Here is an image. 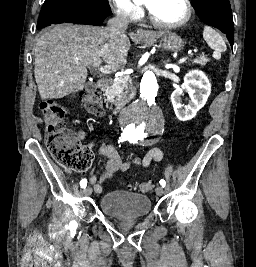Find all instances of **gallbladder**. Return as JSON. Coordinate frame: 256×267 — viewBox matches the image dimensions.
Instances as JSON below:
<instances>
[{
    "label": "gallbladder",
    "instance_id": "bac80fb5",
    "mask_svg": "<svg viewBox=\"0 0 256 267\" xmlns=\"http://www.w3.org/2000/svg\"><path fill=\"white\" fill-rule=\"evenodd\" d=\"M96 84L95 82H88L86 86V92H92V90H95Z\"/></svg>",
    "mask_w": 256,
    "mask_h": 267
}]
</instances>
